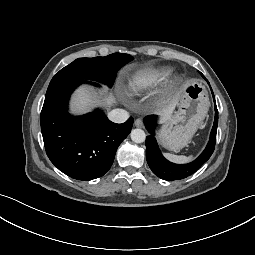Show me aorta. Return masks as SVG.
Masks as SVG:
<instances>
[{
    "instance_id": "aorta-1",
    "label": "aorta",
    "mask_w": 255,
    "mask_h": 255,
    "mask_svg": "<svg viewBox=\"0 0 255 255\" xmlns=\"http://www.w3.org/2000/svg\"><path fill=\"white\" fill-rule=\"evenodd\" d=\"M132 141L135 143H142L145 141L146 135L142 129H133L130 133Z\"/></svg>"
}]
</instances>
